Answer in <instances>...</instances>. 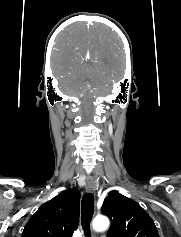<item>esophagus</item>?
<instances>
[{"mask_svg":"<svg viewBox=\"0 0 181 237\" xmlns=\"http://www.w3.org/2000/svg\"><path fill=\"white\" fill-rule=\"evenodd\" d=\"M86 190L90 193H94L96 190V185L93 179H87Z\"/></svg>","mask_w":181,"mask_h":237,"instance_id":"1","label":"esophagus"}]
</instances>
